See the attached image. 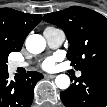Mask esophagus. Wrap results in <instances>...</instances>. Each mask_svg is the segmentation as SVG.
I'll use <instances>...</instances> for the list:
<instances>
[{
	"label": "esophagus",
	"instance_id": "34e87169",
	"mask_svg": "<svg viewBox=\"0 0 107 107\" xmlns=\"http://www.w3.org/2000/svg\"><path fill=\"white\" fill-rule=\"evenodd\" d=\"M46 78H55L56 75L55 74H45Z\"/></svg>",
	"mask_w": 107,
	"mask_h": 107
}]
</instances>
